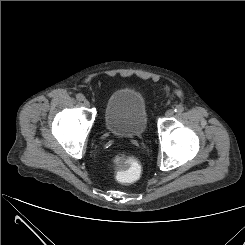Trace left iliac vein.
<instances>
[{
    "instance_id": "left-iliac-vein-1",
    "label": "left iliac vein",
    "mask_w": 245,
    "mask_h": 245,
    "mask_svg": "<svg viewBox=\"0 0 245 245\" xmlns=\"http://www.w3.org/2000/svg\"><path fill=\"white\" fill-rule=\"evenodd\" d=\"M174 115V110L173 109H169L165 112V116L166 117H172Z\"/></svg>"
}]
</instances>
